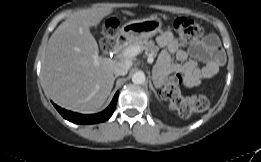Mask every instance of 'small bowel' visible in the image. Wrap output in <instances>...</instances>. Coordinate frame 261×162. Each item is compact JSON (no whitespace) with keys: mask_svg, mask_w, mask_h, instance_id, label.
Masks as SVG:
<instances>
[{"mask_svg":"<svg viewBox=\"0 0 261 162\" xmlns=\"http://www.w3.org/2000/svg\"><path fill=\"white\" fill-rule=\"evenodd\" d=\"M157 42L165 48L158 58L159 70L163 74H183L187 87L196 86L201 79L212 78L225 63V53L214 35H208L190 48V55L194 60L203 63L202 67L197 66L196 62L189 58L182 42L172 32L162 33ZM173 57L181 63L175 62Z\"/></svg>","mask_w":261,"mask_h":162,"instance_id":"small-bowel-1","label":"small bowel"}]
</instances>
